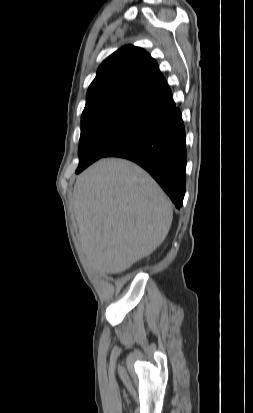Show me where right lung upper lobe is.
Segmentation results:
<instances>
[{"label": "right lung upper lobe", "mask_w": 253, "mask_h": 413, "mask_svg": "<svg viewBox=\"0 0 253 413\" xmlns=\"http://www.w3.org/2000/svg\"><path fill=\"white\" fill-rule=\"evenodd\" d=\"M112 108L155 117L175 108L156 61L139 47L124 46L100 65L89 86L82 116Z\"/></svg>", "instance_id": "right-lung-upper-lobe-1"}]
</instances>
